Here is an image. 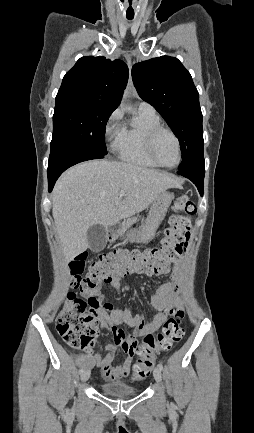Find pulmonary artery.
I'll return each mask as SVG.
<instances>
[{
	"instance_id": "pulmonary-artery-1",
	"label": "pulmonary artery",
	"mask_w": 254,
	"mask_h": 433,
	"mask_svg": "<svg viewBox=\"0 0 254 433\" xmlns=\"http://www.w3.org/2000/svg\"><path fill=\"white\" fill-rule=\"evenodd\" d=\"M138 110L140 111H148V112H153L154 108L152 107V105H150L147 102H140L138 104Z\"/></svg>"
}]
</instances>
